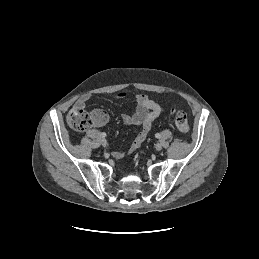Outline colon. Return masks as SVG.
Wrapping results in <instances>:
<instances>
[{
	"instance_id": "colon-1",
	"label": "colon",
	"mask_w": 259,
	"mask_h": 259,
	"mask_svg": "<svg viewBox=\"0 0 259 259\" xmlns=\"http://www.w3.org/2000/svg\"><path fill=\"white\" fill-rule=\"evenodd\" d=\"M172 115L178 131L182 134H187L190 127L186 114L182 111L173 109ZM67 122L73 130L83 132L87 130L92 123H94V120L83 107L75 106L69 111L67 115Z\"/></svg>"
}]
</instances>
